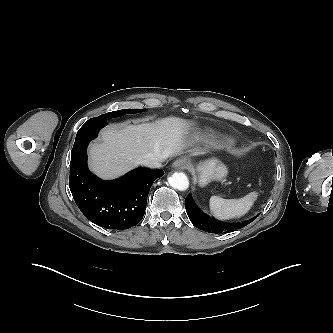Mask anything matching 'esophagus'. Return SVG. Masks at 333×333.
<instances>
[{"label":"esophagus","instance_id":"34e87169","mask_svg":"<svg viewBox=\"0 0 333 333\" xmlns=\"http://www.w3.org/2000/svg\"><path fill=\"white\" fill-rule=\"evenodd\" d=\"M188 166H189V163L185 158H179V159L175 160L172 164V167L177 170L187 169Z\"/></svg>","mask_w":333,"mask_h":333}]
</instances>
